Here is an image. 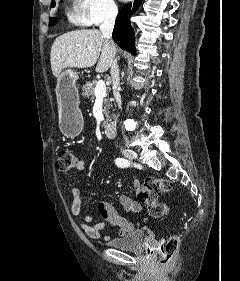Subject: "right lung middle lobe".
Wrapping results in <instances>:
<instances>
[{
	"label": "right lung middle lobe",
	"mask_w": 240,
	"mask_h": 281,
	"mask_svg": "<svg viewBox=\"0 0 240 281\" xmlns=\"http://www.w3.org/2000/svg\"><path fill=\"white\" fill-rule=\"evenodd\" d=\"M55 6V3H52V7ZM55 23V19L53 17L50 18V24H54Z\"/></svg>",
	"instance_id": "obj_1"
}]
</instances>
